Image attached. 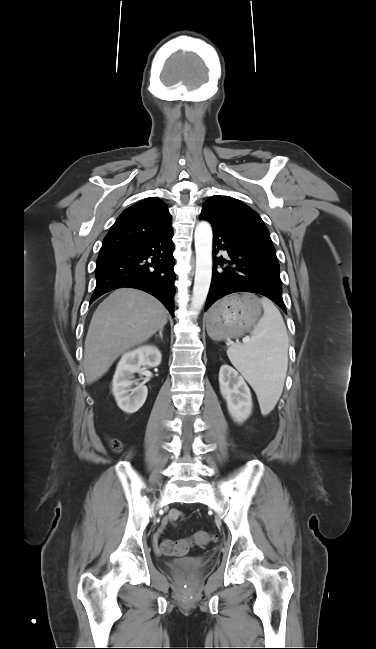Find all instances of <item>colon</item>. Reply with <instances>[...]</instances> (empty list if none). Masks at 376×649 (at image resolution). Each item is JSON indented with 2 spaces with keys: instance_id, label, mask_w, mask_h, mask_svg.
<instances>
[{
  "instance_id": "1",
  "label": "colon",
  "mask_w": 376,
  "mask_h": 649,
  "mask_svg": "<svg viewBox=\"0 0 376 649\" xmlns=\"http://www.w3.org/2000/svg\"><path fill=\"white\" fill-rule=\"evenodd\" d=\"M111 448L118 452L121 450V442L117 439H111L110 441ZM211 534L207 531H198L194 534L193 539L195 543L199 546H205L211 541ZM161 549L171 555H182L188 549L187 542L183 540H163L161 544Z\"/></svg>"
}]
</instances>
